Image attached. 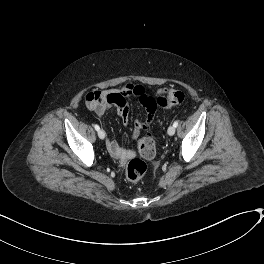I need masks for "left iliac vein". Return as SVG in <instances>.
<instances>
[{
    "mask_svg": "<svg viewBox=\"0 0 264 264\" xmlns=\"http://www.w3.org/2000/svg\"><path fill=\"white\" fill-rule=\"evenodd\" d=\"M167 132H168V134H169L170 136L174 135L175 132H176V127H175L174 125H171V126L168 128Z\"/></svg>",
    "mask_w": 264,
    "mask_h": 264,
    "instance_id": "obj_1",
    "label": "left iliac vein"
}]
</instances>
